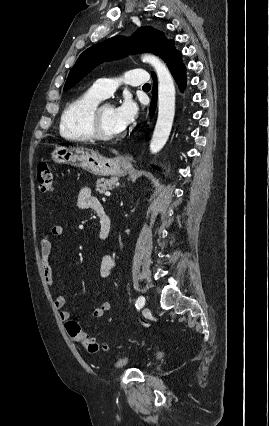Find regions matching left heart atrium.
Listing matches in <instances>:
<instances>
[{
    "instance_id": "39dd6f15",
    "label": "left heart atrium",
    "mask_w": 269,
    "mask_h": 426,
    "mask_svg": "<svg viewBox=\"0 0 269 426\" xmlns=\"http://www.w3.org/2000/svg\"><path fill=\"white\" fill-rule=\"evenodd\" d=\"M138 115V107L130 100H125L114 108V118L117 126L124 130L133 123Z\"/></svg>"
}]
</instances>
